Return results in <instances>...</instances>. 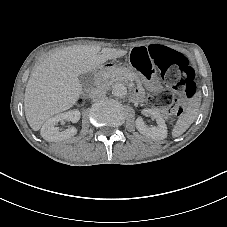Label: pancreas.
I'll return each mask as SVG.
<instances>
[{
	"instance_id": "obj_1",
	"label": "pancreas",
	"mask_w": 227,
	"mask_h": 227,
	"mask_svg": "<svg viewBox=\"0 0 227 227\" xmlns=\"http://www.w3.org/2000/svg\"><path fill=\"white\" fill-rule=\"evenodd\" d=\"M129 78H136V74L125 67H115L106 72H100L97 83H112L114 81H128ZM137 85L139 89H142L141 82L137 80Z\"/></svg>"
}]
</instances>
